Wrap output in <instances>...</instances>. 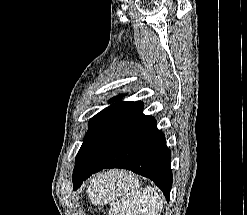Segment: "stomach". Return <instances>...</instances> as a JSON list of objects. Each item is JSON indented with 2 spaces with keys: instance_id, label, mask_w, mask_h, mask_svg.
Listing matches in <instances>:
<instances>
[{
  "instance_id": "0dacf381",
  "label": "stomach",
  "mask_w": 247,
  "mask_h": 215,
  "mask_svg": "<svg viewBox=\"0 0 247 215\" xmlns=\"http://www.w3.org/2000/svg\"><path fill=\"white\" fill-rule=\"evenodd\" d=\"M134 186H136V180L130 175L125 173L120 176V172H108L92 179L87 192L94 203L101 204L116 198Z\"/></svg>"
}]
</instances>
